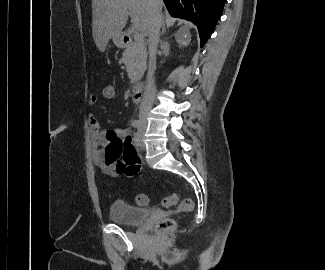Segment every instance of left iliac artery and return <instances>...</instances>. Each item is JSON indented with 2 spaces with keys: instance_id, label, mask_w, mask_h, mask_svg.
<instances>
[{
  "instance_id": "1",
  "label": "left iliac artery",
  "mask_w": 325,
  "mask_h": 270,
  "mask_svg": "<svg viewBox=\"0 0 325 270\" xmlns=\"http://www.w3.org/2000/svg\"><path fill=\"white\" fill-rule=\"evenodd\" d=\"M134 142H135L136 146H138L139 136L137 133L134 134Z\"/></svg>"
}]
</instances>
